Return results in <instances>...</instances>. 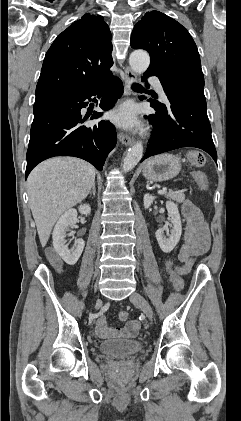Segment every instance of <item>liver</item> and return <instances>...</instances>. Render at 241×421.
<instances>
[{"instance_id":"obj_1","label":"liver","mask_w":241,"mask_h":421,"mask_svg":"<svg viewBox=\"0 0 241 421\" xmlns=\"http://www.w3.org/2000/svg\"><path fill=\"white\" fill-rule=\"evenodd\" d=\"M95 168L74 157L48 159L27 180L29 205L44 247L58 218L84 200L95 181Z\"/></svg>"}]
</instances>
